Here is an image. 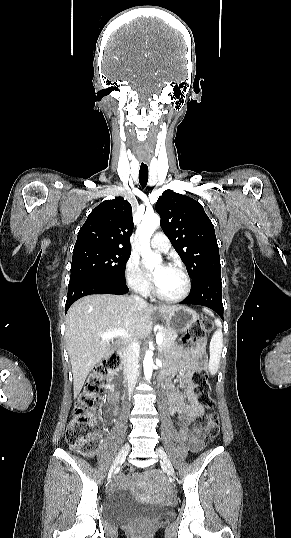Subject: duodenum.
Instances as JSON below:
<instances>
[{
  "mask_svg": "<svg viewBox=\"0 0 291 538\" xmlns=\"http://www.w3.org/2000/svg\"><path fill=\"white\" fill-rule=\"evenodd\" d=\"M118 369L121 374H112L109 380V385L117 398L123 396L127 391L123 381L124 376L122 375L128 371L126 356L123 352H121V361L120 364H118ZM159 378H162V381H165V378H167V373H159Z\"/></svg>",
  "mask_w": 291,
  "mask_h": 538,
  "instance_id": "1",
  "label": "duodenum"
}]
</instances>
